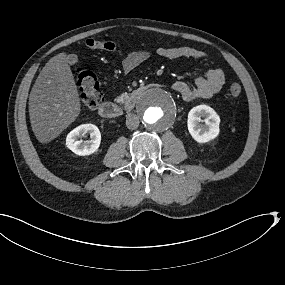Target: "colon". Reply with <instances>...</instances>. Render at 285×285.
Masks as SVG:
<instances>
[{"label": "colon", "instance_id": "colon-1", "mask_svg": "<svg viewBox=\"0 0 285 285\" xmlns=\"http://www.w3.org/2000/svg\"><path fill=\"white\" fill-rule=\"evenodd\" d=\"M85 48L91 50L115 51L120 45L113 41L88 39L85 42ZM77 84L80 90V97L85 107L88 109H98L104 99L100 90V85L96 75L84 68L77 69ZM229 94L237 97L241 94V86L233 83L229 87Z\"/></svg>", "mask_w": 285, "mask_h": 285}]
</instances>
